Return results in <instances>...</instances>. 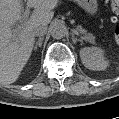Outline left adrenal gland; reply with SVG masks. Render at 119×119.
<instances>
[{
	"mask_svg": "<svg viewBox=\"0 0 119 119\" xmlns=\"http://www.w3.org/2000/svg\"><path fill=\"white\" fill-rule=\"evenodd\" d=\"M72 41H73V43H76L77 41L82 43L83 39H77V38L74 37V35H72Z\"/></svg>",
	"mask_w": 119,
	"mask_h": 119,
	"instance_id": "a2214340",
	"label": "left adrenal gland"
}]
</instances>
